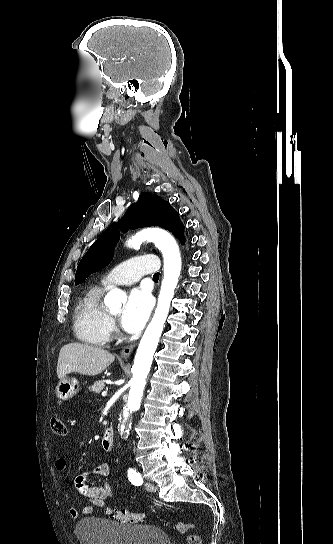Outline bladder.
<instances>
[{"label":"bladder","instance_id":"bladder-1","mask_svg":"<svg viewBox=\"0 0 333 544\" xmlns=\"http://www.w3.org/2000/svg\"><path fill=\"white\" fill-rule=\"evenodd\" d=\"M80 544H170L169 536L152 525H130L97 517L84 518L75 529Z\"/></svg>","mask_w":333,"mask_h":544}]
</instances>
